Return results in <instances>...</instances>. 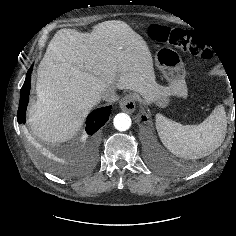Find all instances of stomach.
Wrapping results in <instances>:
<instances>
[{
	"label": "stomach",
	"mask_w": 236,
	"mask_h": 236,
	"mask_svg": "<svg viewBox=\"0 0 236 236\" xmlns=\"http://www.w3.org/2000/svg\"><path fill=\"white\" fill-rule=\"evenodd\" d=\"M155 64L162 72L166 83L152 94L141 95L142 102L146 105H156L165 108L176 94L184 95L185 67L177 51L170 47H162L155 53Z\"/></svg>",
	"instance_id": "0dacf381"
}]
</instances>
